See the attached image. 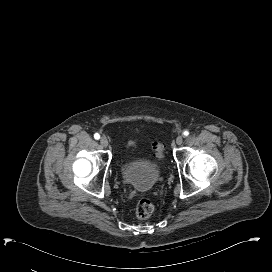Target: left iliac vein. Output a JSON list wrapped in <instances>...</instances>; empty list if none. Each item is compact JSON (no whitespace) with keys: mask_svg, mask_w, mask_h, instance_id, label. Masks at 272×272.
<instances>
[{"mask_svg":"<svg viewBox=\"0 0 272 272\" xmlns=\"http://www.w3.org/2000/svg\"><path fill=\"white\" fill-rule=\"evenodd\" d=\"M176 143L178 145H181L183 143V136L182 135H179L177 138H176Z\"/></svg>","mask_w":272,"mask_h":272,"instance_id":"obj_1","label":"left iliac vein"}]
</instances>
